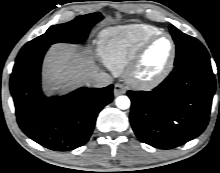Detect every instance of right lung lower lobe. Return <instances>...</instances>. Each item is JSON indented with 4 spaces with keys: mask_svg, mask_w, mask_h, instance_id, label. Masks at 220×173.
Instances as JSON below:
<instances>
[{
    "mask_svg": "<svg viewBox=\"0 0 220 173\" xmlns=\"http://www.w3.org/2000/svg\"><path fill=\"white\" fill-rule=\"evenodd\" d=\"M48 47L19 53L10 79L21 130L38 144L55 151L84 145L101 109L113 100V85L82 87L63 96L46 98L40 88V69Z\"/></svg>",
    "mask_w": 220,
    "mask_h": 173,
    "instance_id": "98d812e1",
    "label": "right lung lower lobe"
}]
</instances>
